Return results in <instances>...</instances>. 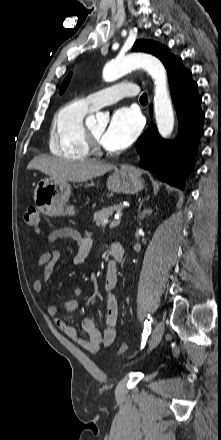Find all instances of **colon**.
<instances>
[{
	"mask_svg": "<svg viewBox=\"0 0 221 440\" xmlns=\"http://www.w3.org/2000/svg\"><path fill=\"white\" fill-rule=\"evenodd\" d=\"M25 220L27 225L36 230L39 231L41 228V214L40 211L36 207H29L26 214H25ZM127 350V345L125 343H122L119 347V353L124 354Z\"/></svg>",
	"mask_w": 221,
	"mask_h": 440,
	"instance_id": "obj_1",
	"label": "colon"
}]
</instances>
